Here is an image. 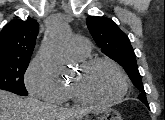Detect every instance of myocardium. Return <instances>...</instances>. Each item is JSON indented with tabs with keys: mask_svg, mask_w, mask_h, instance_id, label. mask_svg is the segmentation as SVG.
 Segmentation results:
<instances>
[{
	"mask_svg": "<svg viewBox=\"0 0 165 120\" xmlns=\"http://www.w3.org/2000/svg\"><path fill=\"white\" fill-rule=\"evenodd\" d=\"M100 64L110 65L118 71L122 79L121 91L113 97L106 98V99H99V98H94L88 95L82 89L79 83H71L70 88L75 98L77 99V101L84 102V103H93V104H111V103L121 100L127 94L128 88H129L128 76L125 70L122 68V66L112 59L105 58V57H97V58L88 59L86 61H83L80 64L79 71L82 75H84L89 70H91L92 68Z\"/></svg>",
	"mask_w": 165,
	"mask_h": 120,
	"instance_id": "f54148a6",
	"label": "myocardium"
}]
</instances>
